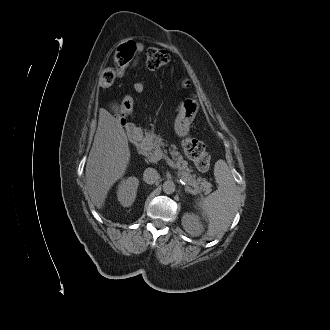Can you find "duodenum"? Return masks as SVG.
Masks as SVG:
<instances>
[{"mask_svg":"<svg viewBox=\"0 0 330 330\" xmlns=\"http://www.w3.org/2000/svg\"><path fill=\"white\" fill-rule=\"evenodd\" d=\"M126 135L128 139L133 143H137L141 140V132L133 125L126 126Z\"/></svg>","mask_w":330,"mask_h":330,"instance_id":"obj_1","label":"duodenum"}]
</instances>
